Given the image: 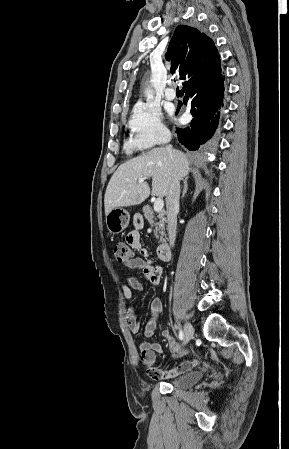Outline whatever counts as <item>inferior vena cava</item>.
Here are the masks:
<instances>
[{"label": "inferior vena cava", "mask_w": 289, "mask_h": 449, "mask_svg": "<svg viewBox=\"0 0 289 449\" xmlns=\"http://www.w3.org/2000/svg\"><path fill=\"white\" fill-rule=\"evenodd\" d=\"M171 140V136H167L164 143H168ZM171 151V148H167ZM179 196H180V178L178 174L173 171L171 174V181L169 191L166 196V208H167V223L170 246H174L176 238L177 228V213L179 211Z\"/></svg>", "instance_id": "inferior-vena-cava-1"}]
</instances>
